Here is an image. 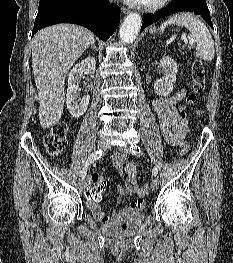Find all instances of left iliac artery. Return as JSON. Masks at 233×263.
<instances>
[{"label": "left iliac artery", "instance_id": "left-iliac-artery-1", "mask_svg": "<svg viewBox=\"0 0 233 263\" xmlns=\"http://www.w3.org/2000/svg\"><path fill=\"white\" fill-rule=\"evenodd\" d=\"M130 151L132 152V154L134 155H139L141 153V148L139 146H137L136 144H132L130 146ZM152 174L153 176H157L158 174V169L157 167H154L152 170Z\"/></svg>", "mask_w": 233, "mask_h": 263}]
</instances>
